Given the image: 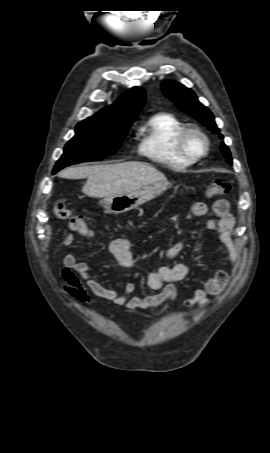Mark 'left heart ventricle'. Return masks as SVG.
<instances>
[{
	"mask_svg": "<svg viewBox=\"0 0 270 453\" xmlns=\"http://www.w3.org/2000/svg\"><path fill=\"white\" fill-rule=\"evenodd\" d=\"M187 145L190 151L199 153L204 148V140L198 135H191L187 139Z\"/></svg>",
	"mask_w": 270,
	"mask_h": 453,
	"instance_id": "left-heart-ventricle-1",
	"label": "left heart ventricle"
}]
</instances>
